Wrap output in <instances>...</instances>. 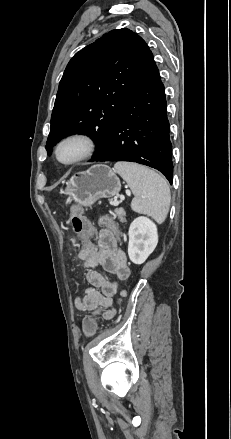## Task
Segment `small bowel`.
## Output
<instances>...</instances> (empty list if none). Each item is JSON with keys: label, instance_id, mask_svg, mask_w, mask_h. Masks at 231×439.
Returning <instances> with one entry per match:
<instances>
[{"label": "small bowel", "instance_id": "obj_1", "mask_svg": "<svg viewBox=\"0 0 231 439\" xmlns=\"http://www.w3.org/2000/svg\"><path fill=\"white\" fill-rule=\"evenodd\" d=\"M87 250L93 253L89 262L84 264L90 287L75 298L74 305L81 312H89L90 307L95 306L104 312L98 317L109 320L115 314L113 297L118 291V285L97 271L96 267L101 266L106 272L124 280L130 274L127 257L119 245L116 232L108 229L100 230L96 244L86 243L80 250L79 257Z\"/></svg>", "mask_w": 231, "mask_h": 439}]
</instances>
